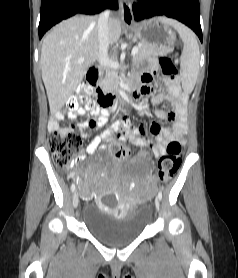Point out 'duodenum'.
Instances as JSON below:
<instances>
[{
	"mask_svg": "<svg viewBox=\"0 0 238 278\" xmlns=\"http://www.w3.org/2000/svg\"><path fill=\"white\" fill-rule=\"evenodd\" d=\"M99 69L97 67H92L87 73V81L90 86L94 89L97 97V102L101 107L107 108L117 104H124V99L118 97L115 93L105 91L98 84Z\"/></svg>",
	"mask_w": 238,
	"mask_h": 278,
	"instance_id": "1",
	"label": "duodenum"
}]
</instances>
